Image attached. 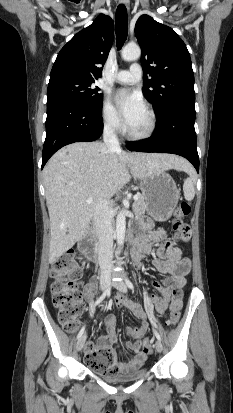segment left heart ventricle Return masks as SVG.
I'll use <instances>...</instances> for the list:
<instances>
[{
    "mask_svg": "<svg viewBox=\"0 0 233 413\" xmlns=\"http://www.w3.org/2000/svg\"><path fill=\"white\" fill-rule=\"evenodd\" d=\"M148 126V116L145 111L143 112L128 126L133 132L139 133L143 132Z\"/></svg>",
    "mask_w": 233,
    "mask_h": 413,
    "instance_id": "1",
    "label": "left heart ventricle"
}]
</instances>
